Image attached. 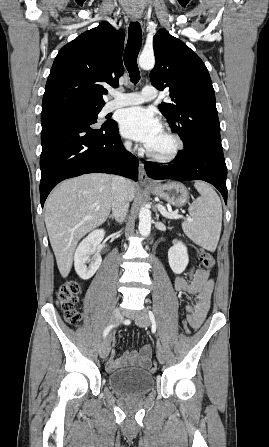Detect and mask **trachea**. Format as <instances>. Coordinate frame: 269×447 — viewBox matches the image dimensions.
I'll return each mask as SVG.
<instances>
[{"mask_svg": "<svg viewBox=\"0 0 269 447\" xmlns=\"http://www.w3.org/2000/svg\"><path fill=\"white\" fill-rule=\"evenodd\" d=\"M142 45V31L138 22H131L129 26L128 42L124 51V63L131 82L137 84L140 72L137 66V56Z\"/></svg>", "mask_w": 269, "mask_h": 447, "instance_id": "1", "label": "trachea"}]
</instances>
